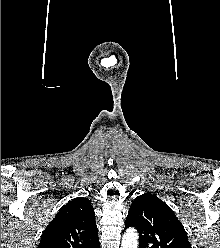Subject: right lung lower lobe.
Segmentation results:
<instances>
[{
  "mask_svg": "<svg viewBox=\"0 0 220 248\" xmlns=\"http://www.w3.org/2000/svg\"><path fill=\"white\" fill-rule=\"evenodd\" d=\"M95 248H100V244L98 246H95Z\"/></svg>",
  "mask_w": 220,
  "mask_h": 248,
  "instance_id": "1",
  "label": "right lung lower lobe"
}]
</instances>
